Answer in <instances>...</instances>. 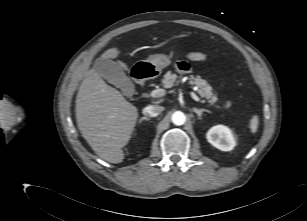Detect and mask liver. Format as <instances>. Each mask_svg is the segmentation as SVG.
<instances>
[{"instance_id": "1", "label": "liver", "mask_w": 307, "mask_h": 221, "mask_svg": "<svg viewBox=\"0 0 307 221\" xmlns=\"http://www.w3.org/2000/svg\"><path fill=\"white\" fill-rule=\"evenodd\" d=\"M119 53L114 47L105 51L101 58H117ZM120 64L127 69L125 63ZM75 110L77 126L94 152L109 163L122 162V148L131 139L138 109L91 69L79 87Z\"/></svg>"}]
</instances>
